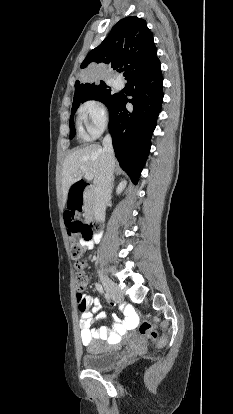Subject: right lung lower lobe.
Segmentation results:
<instances>
[{
	"mask_svg": "<svg viewBox=\"0 0 233 414\" xmlns=\"http://www.w3.org/2000/svg\"><path fill=\"white\" fill-rule=\"evenodd\" d=\"M155 71L128 80L132 99L119 95L109 108V130L115 156L133 183H137L151 147V136L161 111L163 77ZM133 104L127 110L126 103Z\"/></svg>",
	"mask_w": 233,
	"mask_h": 414,
	"instance_id": "obj_1",
	"label": "right lung lower lobe"
}]
</instances>
